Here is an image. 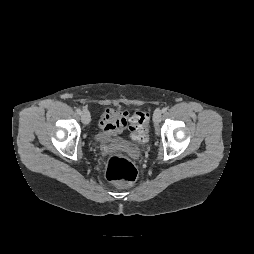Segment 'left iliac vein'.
<instances>
[{"instance_id": "left-iliac-vein-1", "label": "left iliac vein", "mask_w": 254, "mask_h": 254, "mask_svg": "<svg viewBox=\"0 0 254 254\" xmlns=\"http://www.w3.org/2000/svg\"><path fill=\"white\" fill-rule=\"evenodd\" d=\"M162 112L160 110H156L153 116V121L158 124L161 121Z\"/></svg>"}]
</instances>
